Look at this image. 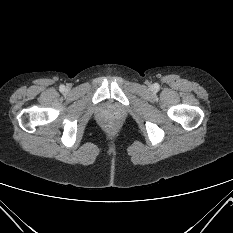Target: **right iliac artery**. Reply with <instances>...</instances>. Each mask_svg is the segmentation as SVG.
Masks as SVG:
<instances>
[{
	"label": "right iliac artery",
	"instance_id": "82829eb1",
	"mask_svg": "<svg viewBox=\"0 0 233 233\" xmlns=\"http://www.w3.org/2000/svg\"><path fill=\"white\" fill-rule=\"evenodd\" d=\"M60 91H64V89H65V86L64 85H60Z\"/></svg>",
	"mask_w": 233,
	"mask_h": 233
}]
</instances>
